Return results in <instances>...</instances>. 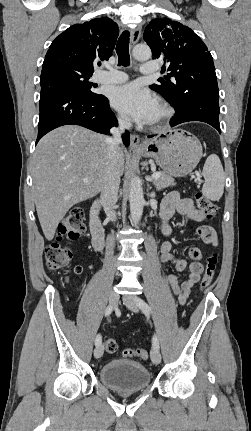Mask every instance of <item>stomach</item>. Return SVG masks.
<instances>
[{
  "label": "stomach",
  "instance_id": "stomach-1",
  "mask_svg": "<svg viewBox=\"0 0 251 431\" xmlns=\"http://www.w3.org/2000/svg\"><path fill=\"white\" fill-rule=\"evenodd\" d=\"M138 154L155 159L165 174L183 177L199 163L202 146L194 135L185 130H169L146 142Z\"/></svg>",
  "mask_w": 251,
  "mask_h": 431
}]
</instances>
